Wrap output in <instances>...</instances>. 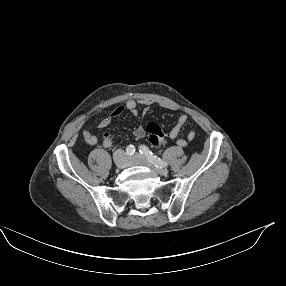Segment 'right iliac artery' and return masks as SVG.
<instances>
[{"label": "right iliac artery", "instance_id": "obj_1", "mask_svg": "<svg viewBox=\"0 0 286 286\" xmlns=\"http://www.w3.org/2000/svg\"><path fill=\"white\" fill-rule=\"evenodd\" d=\"M135 153V147L133 145H129L127 148H126V154L127 155H133Z\"/></svg>", "mask_w": 286, "mask_h": 286}]
</instances>
